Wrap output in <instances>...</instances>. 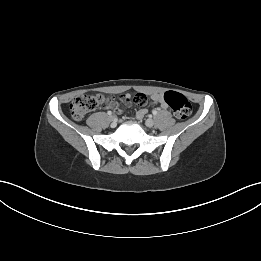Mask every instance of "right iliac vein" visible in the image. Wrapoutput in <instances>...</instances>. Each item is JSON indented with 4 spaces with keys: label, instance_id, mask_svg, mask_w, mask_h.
Here are the masks:
<instances>
[{
    "label": "right iliac vein",
    "instance_id": "63e3f726",
    "mask_svg": "<svg viewBox=\"0 0 261 261\" xmlns=\"http://www.w3.org/2000/svg\"><path fill=\"white\" fill-rule=\"evenodd\" d=\"M109 120H110V122H111V126L112 127H114V126H116V123H117V120H116V117L115 116H110L109 117Z\"/></svg>",
    "mask_w": 261,
    "mask_h": 261
}]
</instances>
